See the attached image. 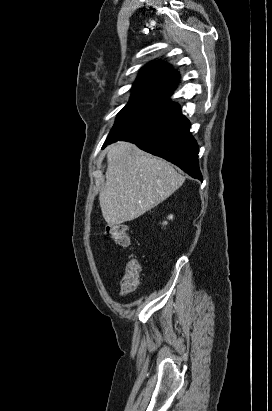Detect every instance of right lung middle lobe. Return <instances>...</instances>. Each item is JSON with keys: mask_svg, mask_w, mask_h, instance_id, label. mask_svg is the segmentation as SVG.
I'll list each match as a JSON object with an SVG mask.
<instances>
[{"mask_svg": "<svg viewBox=\"0 0 272 411\" xmlns=\"http://www.w3.org/2000/svg\"><path fill=\"white\" fill-rule=\"evenodd\" d=\"M180 110L179 105L169 104L156 97L132 93L128 104L118 113L109 138H121L143 129Z\"/></svg>", "mask_w": 272, "mask_h": 411, "instance_id": "1", "label": "right lung middle lobe"}]
</instances>
